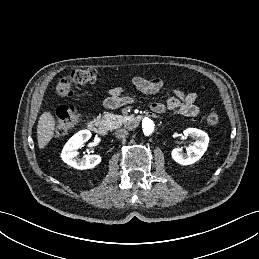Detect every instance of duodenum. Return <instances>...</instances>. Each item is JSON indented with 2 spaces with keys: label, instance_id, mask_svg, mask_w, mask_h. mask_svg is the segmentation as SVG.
<instances>
[{
  "label": "duodenum",
  "instance_id": "410a0bca",
  "mask_svg": "<svg viewBox=\"0 0 259 259\" xmlns=\"http://www.w3.org/2000/svg\"><path fill=\"white\" fill-rule=\"evenodd\" d=\"M144 116L143 115H138L133 117L130 121H129V127L133 128L136 127L137 125H139L141 123V121L143 120ZM88 127L89 129L101 136H104L107 134L108 132V127L105 123V121H103L102 119L99 118H93L88 122Z\"/></svg>",
  "mask_w": 259,
  "mask_h": 259
}]
</instances>
